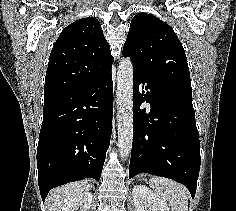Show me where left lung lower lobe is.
I'll use <instances>...</instances> for the list:
<instances>
[{
  "mask_svg": "<svg viewBox=\"0 0 236 211\" xmlns=\"http://www.w3.org/2000/svg\"><path fill=\"white\" fill-rule=\"evenodd\" d=\"M133 143L129 178L145 172L183 183L194 198L200 170L199 133L192 100L133 74ZM148 92L139 91L145 84ZM144 87V86H143ZM150 112L140 109L144 101Z\"/></svg>",
  "mask_w": 236,
  "mask_h": 211,
  "instance_id": "left-lung-lower-lobe-1",
  "label": "left lung lower lobe"
}]
</instances>
